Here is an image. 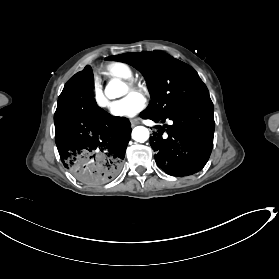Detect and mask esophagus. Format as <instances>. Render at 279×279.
Listing matches in <instances>:
<instances>
[{
  "label": "esophagus",
  "mask_w": 279,
  "mask_h": 279,
  "mask_svg": "<svg viewBox=\"0 0 279 279\" xmlns=\"http://www.w3.org/2000/svg\"><path fill=\"white\" fill-rule=\"evenodd\" d=\"M130 122H131L132 126H135L139 123L137 119H130Z\"/></svg>",
  "instance_id": "34e87169"
}]
</instances>
